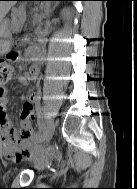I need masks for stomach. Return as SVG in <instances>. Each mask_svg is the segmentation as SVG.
I'll return each instance as SVG.
<instances>
[{"mask_svg": "<svg viewBox=\"0 0 137 189\" xmlns=\"http://www.w3.org/2000/svg\"><path fill=\"white\" fill-rule=\"evenodd\" d=\"M10 29L7 20L0 23V53L6 51V47L9 43Z\"/></svg>", "mask_w": 137, "mask_h": 189, "instance_id": "stomach-1", "label": "stomach"}]
</instances>
